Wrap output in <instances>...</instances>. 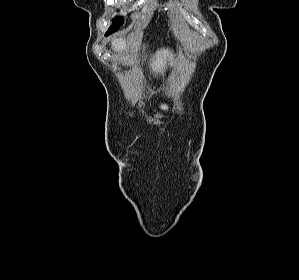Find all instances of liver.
<instances>
[{"instance_id":"6515ba94","label":"liver","mask_w":299,"mask_h":280,"mask_svg":"<svg viewBox=\"0 0 299 280\" xmlns=\"http://www.w3.org/2000/svg\"><path fill=\"white\" fill-rule=\"evenodd\" d=\"M130 46L129 42H126L123 38H114L112 40V48L116 52H122L128 50ZM172 58V54L169 52V49H161L156 52L153 58L150 60V67L152 70L157 73L161 72L162 68L165 66L166 60H170ZM161 109L167 110V105H161Z\"/></svg>"}]
</instances>
